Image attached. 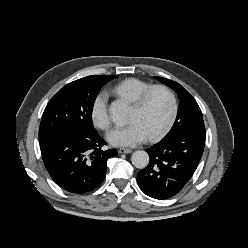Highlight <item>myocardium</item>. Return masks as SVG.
Listing matches in <instances>:
<instances>
[{"label":"myocardium","mask_w":248,"mask_h":248,"mask_svg":"<svg viewBox=\"0 0 248 248\" xmlns=\"http://www.w3.org/2000/svg\"><path fill=\"white\" fill-rule=\"evenodd\" d=\"M156 91H163L164 93L167 94V96L169 97V100H170V110H169L168 116L165 119V121L163 122V124L153 134H151L149 136L150 140L158 139L168 130V128L171 126V124L175 118L176 111H177L176 96L173 93V91L165 85H154V86L150 87L145 92H143L133 102V106L136 109H142L145 106V104L147 103V100L149 99V97Z\"/></svg>","instance_id":"1"}]
</instances>
